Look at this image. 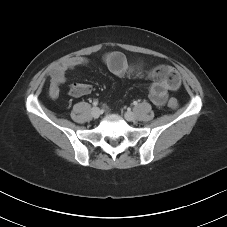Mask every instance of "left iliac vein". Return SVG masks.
I'll return each instance as SVG.
<instances>
[{
  "label": "left iliac vein",
  "instance_id": "left-iliac-vein-1",
  "mask_svg": "<svg viewBox=\"0 0 227 227\" xmlns=\"http://www.w3.org/2000/svg\"><path fill=\"white\" fill-rule=\"evenodd\" d=\"M124 117L127 121H133L135 119V114L132 111H127L125 112Z\"/></svg>",
  "mask_w": 227,
  "mask_h": 227
}]
</instances>
